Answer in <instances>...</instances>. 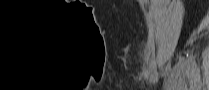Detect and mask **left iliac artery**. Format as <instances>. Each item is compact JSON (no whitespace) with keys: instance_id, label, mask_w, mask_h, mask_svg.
Wrapping results in <instances>:
<instances>
[{"instance_id":"1","label":"left iliac artery","mask_w":209,"mask_h":90,"mask_svg":"<svg viewBox=\"0 0 209 90\" xmlns=\"http://www.w3.org/2000/svg\"><path fill=\"white\" fill-rule=\"evenodd\" d=\"M192 72L195 76V79H196L197 83L200 84L201 83L200 70H199L195 60H192Z\"/></svg>"}]
</instances>
